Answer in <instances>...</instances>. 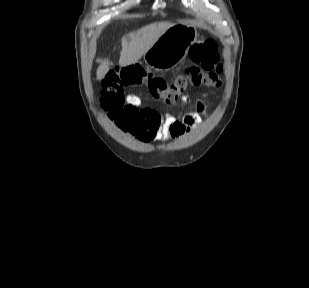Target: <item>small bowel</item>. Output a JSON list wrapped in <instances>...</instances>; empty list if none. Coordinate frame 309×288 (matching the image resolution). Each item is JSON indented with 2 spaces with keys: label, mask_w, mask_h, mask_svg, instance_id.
Returning <instances> with one entry per match:
<instances>
[{
  "label": "small bowel",
  "mask_w": 309,
  "mask_h": 288,
  "mask_svg": "<svg viewBox=\"0 0 309 288\" xmlns=\"http://www.w3.org/2000/svg\"><path fill=\"white\" fill-rule=\"evenodd\" d=\"M182 102H191L188 96ZM127 104L130 112L127 116L115 120L118 128L142 143L169 140L188 134L191 129L199 127L204 121L206 105L196 101L194 110L181 116L163 114L157 109L143 107L142 99L135 93L129 94Z\"/></svg>",
  "instance_id": "obj_1"
}]
</instances>
